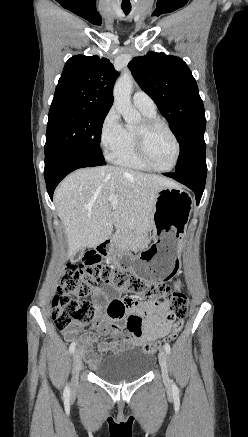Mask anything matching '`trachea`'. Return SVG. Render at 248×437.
<instances>
[{"label":"trachea","mask_w":248,"mask_h":437,"mask_svg":"<svg viewBox=\"0 0 248 437\" xmlns=\"http://www.w3.org/2000/svg\"><path fill=\"white\" fill-rule=\"evenodd\" d=\"M122 9H123V12H124L125 15H128L130 13V11H131V7L130 8L122 7Z\"/></svg>","instance_id":"trachea-1"}]
</instances>
